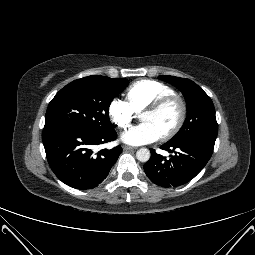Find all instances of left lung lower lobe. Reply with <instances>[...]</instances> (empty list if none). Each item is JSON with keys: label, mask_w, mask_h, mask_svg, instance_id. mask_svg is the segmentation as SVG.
<instances>
[{"label": "left lung lower lobe", "mask_w": 255, "mask_h": 255, "mask_svg": "<svg viewBox=\"0 0 255 255\" xmlns=\"http://www.w3.org/2000/svg\"><path fill=\"white\" fill-rule=\"evenodd\" d=\"M161 149L174 153L169 159L151 149L144 165L148 178L161 187H177L193 179L210 159L214 145L204 142L165 143Z\"/></svg>", "instance_id": "1"}]
</instances>
